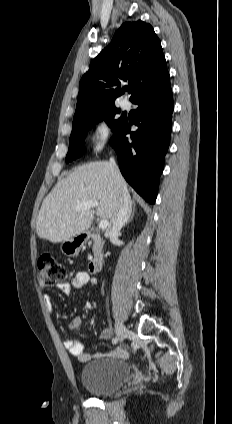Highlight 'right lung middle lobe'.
Returning <instances> with one entry per match:
<instances>
[{"mask_svg":"<svg viewBox=\"0 0 232 424\" xmlns=\"http://www.w3.org/2000/svg\"><path fill=\"white\" fill-rule=\"evenodd\" d=\"M120 110L115 106L102 108L92 111L73 120L72 132L69 140V150L66 156V162H70L80 157L84 149V137L87 131L96 123L104 120L112 130L116 132L126 122L125 118H115Z\"/></svg>","mask_w":232,"mask_h":424,"instance_id":"1","label":"right lung middle lobe"}]
</instances>
